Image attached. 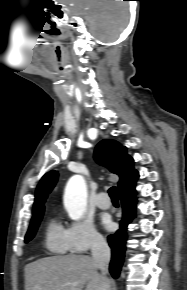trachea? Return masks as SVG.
Masks as SVG:
<instances>
[{
    "mask_svg": "<svg viewBox=\"0 0 187 290\" xmlns=\"http://www.w3.org/2000/svg\"><path fill=\"white\" fill-rule=\"evenodd\" d=\"M108 193L110 195V198L113 202H118V196H117V189L115 186L111 187L109 190H108Z\"/></svg>",
    "mask_w": 187,
    "mask_h": 290,
    "instance_id": "1",
    "label": "trachea"
}]
</instances>
